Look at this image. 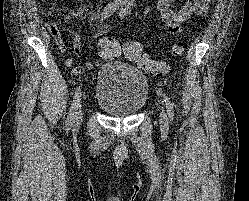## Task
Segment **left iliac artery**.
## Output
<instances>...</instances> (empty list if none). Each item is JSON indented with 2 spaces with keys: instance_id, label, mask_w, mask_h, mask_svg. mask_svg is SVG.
Listing matches in <instances>:
<instances>
[{
  "instance_id": "obj_1",
  "label": "left iliac artery",
  "mask_w": 249,
  "mask_h": 201,
  "mask_svg": "<svg viewBox=\"0 0 249 201\" xmlns=\"http://www.w3.org/2000/svg\"><path fill=\"white\" fill-rule=\"evenodd\" d=\"M132 5H133L132 0H125L119 13L121 18H123L130 11ZM164 101L170 121H173V105L166 95H164Z\"/></svg>"
}]
</instances>
